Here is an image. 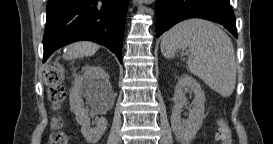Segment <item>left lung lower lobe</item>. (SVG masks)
I'll use <instances>...</instances> for the list:
<instances>
[{
	"label": "left lung lower lobe",
	"instance_id": "0a47b994",
	"mask_svg": "<svg viewBox=\"0 0 273 144\" xmlns=\"http://www.w3.org/2000/svg\"><path fill=\"white\" fill-rule=\"evenodd\" d=\"M156 18L157 37L182 20L202 18L222 24L237 38L229 0H157Z\"/></svg>",
	"mask_w": 273,
	"mask_h": 144
}]
</instances>
